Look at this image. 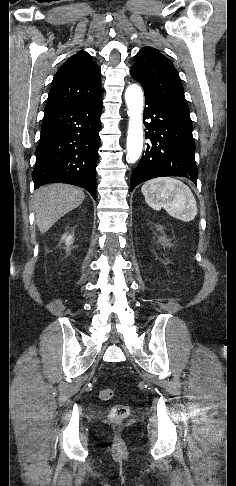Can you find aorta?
<instances>
[{
    "label": "aorta",
    "instance_id": "obj_1",
    "mask_svg": "<svg viewBox=\"0 0 236 486\" xmlns=\"http://www.w3.org/2000/svg\"><path fill=\"white\" fill-rule=\"evenodd\" d=\"M125 100L129 116L126 161L132 164L139 159L143 149V92L141 88L136 84L130 85L126 89Z\"/></svg>",
    "mask_w": 236,
    "mask_h": 486
}]
</instances>
